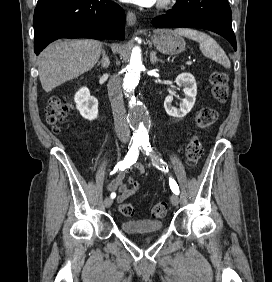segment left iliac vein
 Wrapping results in <instances>:
<instances>
[{
    "mask_svg": "<svg viewBox=\"0 0 272 282\" xmlns=\"http://www.w3.org/2000/svg\"><path fill=\"white\" fill-rule=\"evenodd\" d=\"M170 200L174 206H177L179 204V197L176 194H172Z\"/></svg>",
    "mask_w": 272,
    "mask_h": 282,
    "instance_id": "1",
    "label": "left iliac vein"
}]
</instances>
